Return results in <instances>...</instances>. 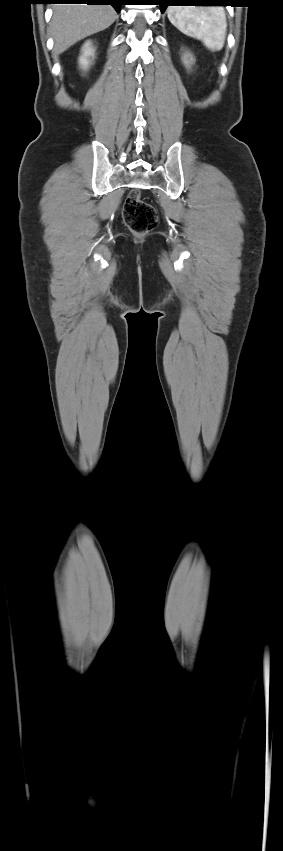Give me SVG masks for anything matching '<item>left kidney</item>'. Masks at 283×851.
Returning <instances> with one entry per match:
<instances>
[{"instance_id": "left-kidney-1", "label": "left kidney", "mask_w": 283, "mask_h": 851, "mask_svg": "<svg viewBox=\"0 0 283 851\" xmlns=\"http://www.w3.org/2000/svg\"><path fill=\"white\" fill-rule=\"evenodd\" d=\"M187 57H189V55H185V57H184V64L188 66V64H190V61L192 60V58L190 59V61H188V60H187Z\"/></svg>"}]
</instances>
